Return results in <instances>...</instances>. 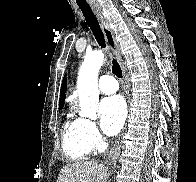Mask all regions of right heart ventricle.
<instances>
[{"label":"right heart ventricle","mask_w":196,"mask_h":182,"mask_svg":"<svg viewBox=\"0 0 196 182\" xmlns=\"http://www.w3.org/2000/svg\"><path fill=\"white\" fill-rule=\"evenodd\" d=\"M62 143L65 155L73 161H82L91 150L86 144L82 130V119L70 117L62 129Z\"/></svg>","instance_id":"obj_1"}]
</instances>
